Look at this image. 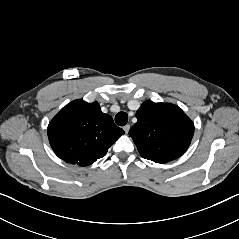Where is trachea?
<instances>
[{
  "label": "trachea",
  "instance_id": "1",
  "mask_svg": "<svg viewBox=\"0 0 239 239\" xmlns=\"http://www.w3.org/2000/svg\"><path fill=\"white\" fill-rule=\"evenodd\" d=\"M115 122H116V124L119 125V126H124V125H126L127 122H128V115H127V113H125V112H123V111L117 113L116 116H115Z\"/></svg>",
  "mask_w": 239,
  "mask_h": 239
}]
</instances>
